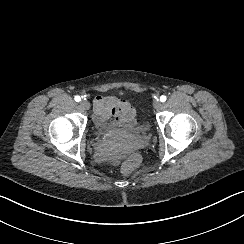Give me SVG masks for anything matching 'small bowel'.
Instances as JSON below:
<instances>
[{
  "instance_id": "c3829d8e",
  "label": "small bowel",
  "mask_w": 244,
  "mask_h": 244,
  "mask_svg": "<svg viewBox=\"0 0 244 244\" xmlns=\"http://www.w3.org/2000/svg\"><path fill=\"white\" fill-rule=\"evenodd\" d=\"M93 110L95 121L104 128L130 127L135 121L130 103L115 96L97 97Z\"/></svg>"
}]
</instances>
